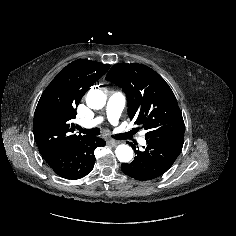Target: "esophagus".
Here are the masks:
<instances>
[{
  "instance_id": "1",
  "label": "esophagus",
  "mask_w": 236,
  "mask_h": 236,
  "mask_svg": "<svg viewBox=\"0 0 236 236\" xmlns=\"http://www.w3.org/2000/svg\"><path fill=\"white\" fill-rule=\"evenodd\" d=\"M108 143H110V144L113 145V146H116V145L119 144V141L114 140V139H110V140H108Z\"/></svg>"
}]
</instances>
